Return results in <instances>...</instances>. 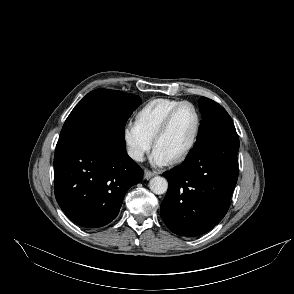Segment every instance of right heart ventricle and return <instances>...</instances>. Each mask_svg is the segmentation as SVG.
<instances>
[{"label": "right heart ventricle", "mask_w": 294, "mask_h": 294, "mask_svg": "<svg viewBox=\"0 0 294 294\" xmlns=\"http://www.w3.org/2000/svg\"><path fill=\"white\" fill-rule=\"evenodd\" d=\"M180 102V100L169 98L152 99L137 111L136 124L149 138L153 139L166 114Z\"/></svg>", "instance_id": "obj_1"}]
</instances>
